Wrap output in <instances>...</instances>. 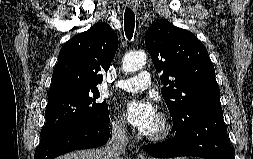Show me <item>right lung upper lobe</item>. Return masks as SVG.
Here are the masks:
<instances>
[{
    "mask_svg": "<svg viewBox=\"0 0 253 159\" xmlns=\"http://www.w3.org/2000/svg\"><path fill=\"white\" fill-rule=\"evenodd\" d=\"M118 47V37L107 23H97L75 35L59 52L48 98L98 90Z\"/></svg>",
    "mask_w": 253,
    "mask_h": 159,
    "instance_id": "1",
    "label": "right lung upper lobe"
}]
</instances>
